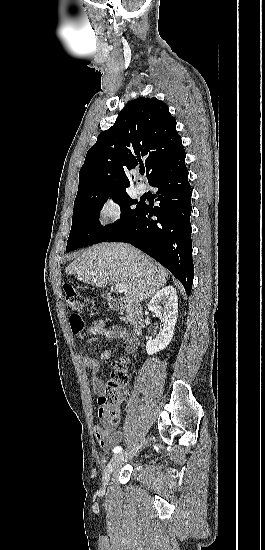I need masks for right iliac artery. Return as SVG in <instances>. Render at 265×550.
<instances>
[{
	"instance_id": "right-iliac-artery-1",
	"label": "right iliac artery",
	"mask_w": 265,
	"mask_h": 550,
	"mask_svg": "<svg viewBox=\"0 0 265 550\" xmlns=\"http://www.w3.org/2000/svg\"><path fill=\"white\" fill-rule=\"evenodd\" d=\"M121 451H122V447H121V446H116V447H114V449H113V452H114L115 454L120 453Z\"/></svg>"
}]
</instances>
